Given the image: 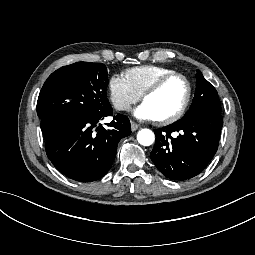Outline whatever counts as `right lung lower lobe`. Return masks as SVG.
I'll list each match as a JSON object with an SVG mask.
<instances>
[{
    "label": "right lung lower lobe",
    "mask_w": 255,
    "mask_h": 255,
    "mask_svg": "<svg viewBox=\"0 0 255 255\" xmlns=\"http://www.w3.org/2000/svg\"><path fill=\"white\" fill-rule=\"evenodd\" d=\"M98 122L88 119L58 123L44 133L48 158L68 178L80 182L102 178L115 159L118 142L131 134L125 115L114 116L106 128Z\"/></svg>",
    "instance_id": "right-lung-lower-lobe-1"
}]
</instances>
